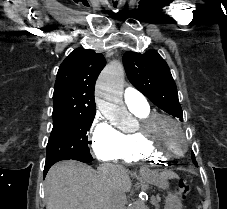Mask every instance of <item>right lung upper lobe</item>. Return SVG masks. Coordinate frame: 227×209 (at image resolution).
I'll return each mask as SVG.
<instances>
[{"label":"right lung upper lobe","instance_id":"cb5924a9","mask_svg":"<svg viewBox=\"0 0 227 209\" xmlns=\"http://www.w3.org/2000/svg\"><path fill=\"white\" fill-rule=\"evenodd\" d=\"M106 60L93 50L77 48L62 62L57 73L53 94V112H96L94 87ZM76 100V105L63 102Z\"/></svg>","mask_w":227,"mask_h":209}]
</instances>
